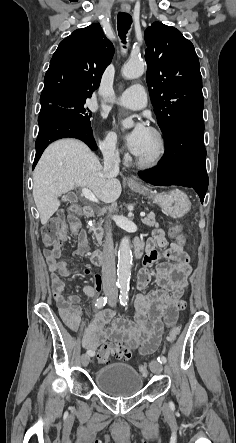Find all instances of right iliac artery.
<instances>
[{
	"instance_id": "1",
	"label": "right iliac artery",
	"mask_w": 236,
	"mask_h": 443,
	"mask_svg": "<svg viewBox=\"0 0 236 443\" xmlns=\"http://www.w3.org/2000/svg\"><path fill=\"white\" fill-rule=\"evenodd\" d=\"M107 303V297H100L96 300L95 306L99 309L102 308L103 306H105V304ZM88 355L93 356L94 352L88 350L87 351Z\"/></svg>"
}]
</instances>
